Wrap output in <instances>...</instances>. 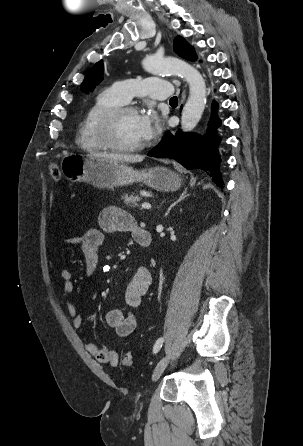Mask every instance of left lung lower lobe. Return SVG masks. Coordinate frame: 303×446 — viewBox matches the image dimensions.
Wrapping results in <instances>:
<instances>
[{"label":"left lung lower lobe","instance_id":"obj_1","mask_svg":"<svg viewBox=\"0 0 303 446\" xmlns=\"http://www.w3.org/2000/svg\"><path fill=\"white\" fill-rule=\"evenodd\" d=\"M212 106L213 113L205 137L183 133L180 130L174 136L167 132L163 140L148 155L175 159L187 169H202L217 186L222 188L224 183L219 170L221 159L217 150L221 139L215 133V129L221 125V121L214 112L218 109V104L213 102Z\"/></svg>","mask_w":303,"mask_h":446}]
</instances>
